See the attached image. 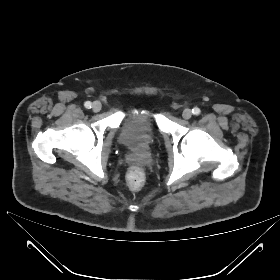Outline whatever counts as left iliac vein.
<instances>
[{
  "mask_svg": "<svg viewBox=\"0 0 280 280\" xmlns=\"http://www.w3.org/2000/svg\"><path fill=\"white\" fill-rule=\"evenodd\" d=\"M182 117L186 120L190 119L192 117V111L190 109H184L182 113Z\"/></svg>",
  "mask_w": 280,
  "mask_h": 280,
  "instance_id": "1",
  "label": "left iliac vein"
}]
</instances>
